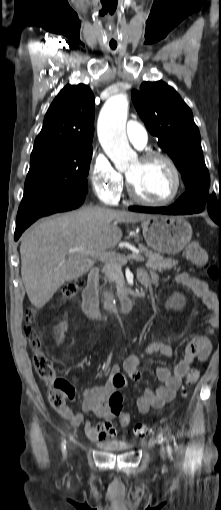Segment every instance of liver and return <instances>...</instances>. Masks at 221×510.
Returning <instances> with one entry per match:
<instances>
[{"label": "liver", "mask_w": 221, "mask_h": 510, "mask_svg": "<svg viewBox=\"0 0 221 510\" xmlns=\"http://www.w3.org/2000/svg\"><path fill=\"white\" fill-rule=\"evenodd\" d=\"M153 217L102 207H85L42 219L21 237V275L32 305L43 307L65 283L78 279L94 265L88 253L105 252L122 238L118 222ZM81 248L76 252L71 249Z\"/></svg>", "instance_id": "liver-1"}]
</instances>
